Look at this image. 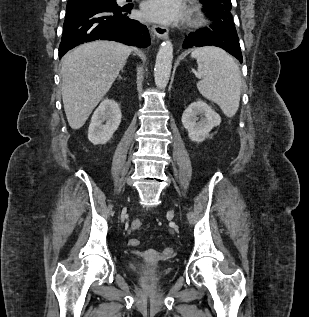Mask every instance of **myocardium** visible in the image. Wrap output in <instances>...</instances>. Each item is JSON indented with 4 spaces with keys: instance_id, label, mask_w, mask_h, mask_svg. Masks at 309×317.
<instances>
[{
    "instance_id": "myocardium-1",
    "label": "myocardium",
    "mask_w": 309,
    "mask_h": 317,
    "mask_svg": "<svg viewBox=\"0 0 309 317\" xmlns=\"http://www.w3.org/2000/svg\"><path fill=\"white\" fill-rule=\"evenodd\" d=\"M188 22L191 26L200 27L206 25L208 19L201 9L194 8L190 14Z\"/></svg>"
}]
</instances>
